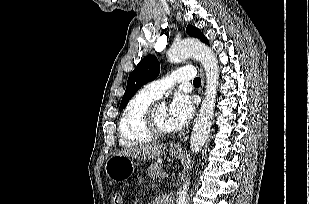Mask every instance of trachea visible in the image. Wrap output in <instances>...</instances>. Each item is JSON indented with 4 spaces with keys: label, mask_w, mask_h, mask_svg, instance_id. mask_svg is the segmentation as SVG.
Listing matches in <instances>:
<instances>
[{
    "label": "trachea",
    "mask_w": 309,
    "mask_h": 204,
    "mask_svg": "<svg viewBox=\"0 0 309 204\" xmlns=\"http://www.w3.org/2000/svg\"><path fill=\"white\" fill-rule=\"evenodd\" d=\"M194 84H201V78L197 77L193 81Z\"/></svg>",
    "instance_id": "1"
}]
</instances>
